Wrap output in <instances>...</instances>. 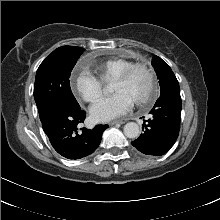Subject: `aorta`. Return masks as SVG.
<instances>
[{"label":"aorta","instance_id":"762f6f07","mask_svg":"<svg viewBox=\"0 0 220 220\" xmlns=\"http://www.w3.org/2000/svg\"><path fill=\"white\" fill-rule=\"evenodd\" d=\"M124 134L127 138H137L140 135L139 125L135 122H128L124 126Z\"/></svg>","mask_w":220,"mask_h":220}]
</instances>
